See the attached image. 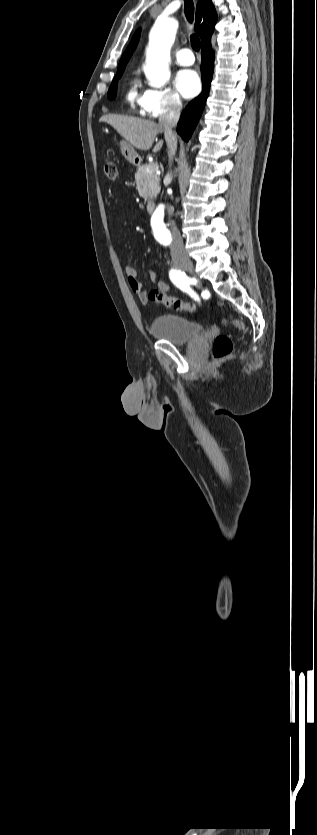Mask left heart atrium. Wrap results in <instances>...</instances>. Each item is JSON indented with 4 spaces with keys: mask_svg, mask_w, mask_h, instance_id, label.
Returning a JSON list of instances; mask_svg holds the SVG:
<instances>
[{
    "mask_svg": "<svg viewBox=\"0 0 317 835\" xmlns=\"http://www.w3.org/2000/svg\"><path fill=\"white\" fill-rule=\"evenodd\" d=\"M175 85L180 94L185 98H191L200 91L201 84L198 74L190 69L178 72Z\"/></svg>",
    "mask_w": 317,
    "mask_h": 835,
    "instance_id": "39dd6f15",
    "label": "left heart atrium"
}]
</instances>
